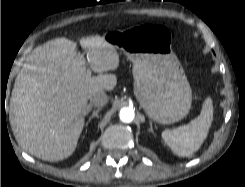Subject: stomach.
<instances>
[{
    "label": "stomach",
    "mask_w": 245,
    "mask_h": 187,
    "mask_svg": "<svg viewBox=\"0 0 245 187\" xmlns=\"http://www.w3.org/2000/svg\"><path fill=\"white\" fill-rule=\"evenodd\" d=\"M104 39L132 61L134 94L149 118L171 124L189 113L192 90L166 26L143 24L109 32Z\"/></svg>",
    "instance_id": "obj_1"
}]
</instances>
